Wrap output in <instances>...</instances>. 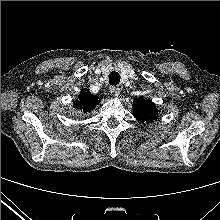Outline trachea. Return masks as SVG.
<instances>
[{
    "instance_id": "3493384b",
    "label": "trachea",
    "mask_w": 220,
    "mask_h": 220,
    "mask_svg": "<svg viewBox=\"0 0 220 220\" xmlns=\"http://www.w3.org/2000/svg\"><path fill=\"white\" fill-rule=\"evenodd\" d=\"M120 75L118 72L116 71H112L110 74H109V82L111 85H117L119 82H120Z\"/></svg>"
}]
</instances>
